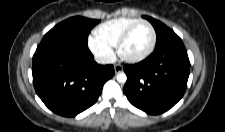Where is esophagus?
Segmentation results:
<instances>
[{
	"label": "esophagus",
	"mask_w": 225,
	"mask_h": 132,
	"mask_svg": "<svg viewBox=\"0 0 225 132\" xmlns=\"http://www.w3.org/2000/svg\"><path fill=\"white\" fill-rule=\"evenodd\" d=\"M114 70H115V73H119V72L123 71V67L120 64H116V65H114Z\"/></svg>",
	"instance_id": "1"
}]
</instances>
